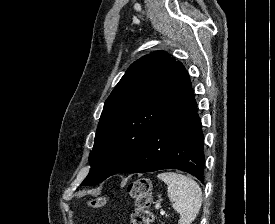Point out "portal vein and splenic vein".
<instances>
[{"label":"portal vein and splenic vein","instance_id":"portal-vein-and-splenic-vein-1","mask_svg":"<svg viewBox=\"0 0 275 224\" xmlns=\"http://www.w3.org/2000/svg\"><path fill=\"white\" fill-rule=\"evenodd\" d=\"M160 214L164 215V214H165V211L161 210Z\"/></svg>","mask_w":275,"mask_h":224}]
</instances>
